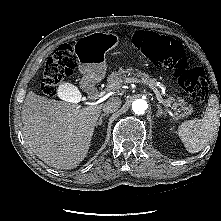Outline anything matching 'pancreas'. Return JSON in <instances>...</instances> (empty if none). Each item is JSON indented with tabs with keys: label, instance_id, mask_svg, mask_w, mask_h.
<instances>
[{
	"label": "pancreas",
	"instance_id": "1",
	"mask_svg": "<svg viewBox=\"0 0 221 221\" xmlns=\"http://www.w3.org/2000/svg\"><path fill=\"white\" fill-rule=\"evenodd\" d=\"M131 75H137V77L145 84H152L153 86H156L155 79L151 78V76L142 73L141 71H136L135 74L132 69H121L118 72H112V74H110L107 78V86H114L115 89H117L122 83H126L127 79L131 78ZM165 102L177 111V118L187 117L193 112V108L191 106H187L184 99H175L169 96Z\"/></svg>",
	"mask_w": 221,
	"mask_h": 221
}]
</instances>
